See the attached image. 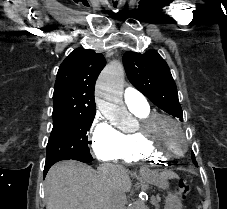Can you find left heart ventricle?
Listing matches in <instances>:
<instances>
[{
  "label": "left heart ventricle",
  "mask_w": 227,
  "mask_h": 209,
  "mask_svg": "<svg viewBox=\"0 0 227 209\" xmlns=\"http://www.w3.org/2000/svg\"><path fill=\"white\" fill-rule=\"evenodd\" d=\"M151 138L165 153L180 152L185 146L184 136L168 120H159L156 123Z\"/></svg>",
  "instance_id": "b2bd125f"
}]
</instances>
